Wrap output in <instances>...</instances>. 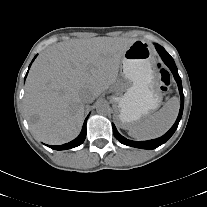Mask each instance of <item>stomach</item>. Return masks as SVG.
Segmentation results:
<instances>
[{
    "label": "stomach",
    "instance_id": "1",
    "mask_svg": "<svg viewBox=\"0 0 207 207\" xmlns=\"http://www.w3.org/2000/svg\"><path fill=\"white\" fill-rule=\"evenodd\" d=\"M153 52L136 40L122 56L121 78L114 88V118L120 128L133 125L155 110L161 102Z\"/></svg>",
    "mask_w": 207,
    "mask_h": 207
}]
</instances>
